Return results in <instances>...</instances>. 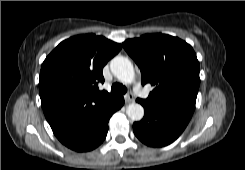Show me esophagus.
I'll return each instance as SVG.
<instances>
[{"mask_svg": "<svg viewBox=\"0 0 245 170\" xmlns=\"http://www.w3.org/2000/svg\"><path fill=\"white\" fill-rule=\"evenodd\" d=\"M124 99H125L126 103H130L133 101L134 98H133L132 94H126V95H124Z\"/></svg>", "mask_w": 245, "mask_h": 170, "instance_id": "1", "label": "esophagus"}]
</instances>
